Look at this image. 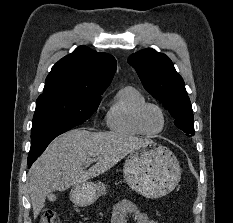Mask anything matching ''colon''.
Masks as SVG:
<instances>
[{
  "mask_svg": "<svg viewBox=\"0 0 233 223\" xmlns=\"http://www.w3.org/2000/svg\"><path fill=\"white\" fill-rule=\"evenodd\" d=\"M42 223H59L58 216L53 209L42 211Z\"/></svg>",
  "mask_w": 233,
  "mask_h": 223,
  "instance_id": "colon-1",
  "label": "colon"
}]
</instances>
